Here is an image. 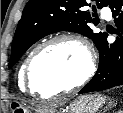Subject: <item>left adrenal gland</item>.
<instances>
[{"mask_svg": "<svg viewBox=\"0 0 123 113\" xmlns=\"http://www.w3.org/2000/svg\"><path fill=\"white\" fill-rule=\"evenodd\" d=\"M113 105H115V104H113ZM111 107H112V102H111L110 105H109V108H111ZM106 109H107V108H106ZM105 111H106V110H105ZM105 111H104V112H105Z\"/></svg>", "mask_w": 123, "mask_h": 113, "instance_id": "1", "label": "left adrenal gland"}]
</instances>
